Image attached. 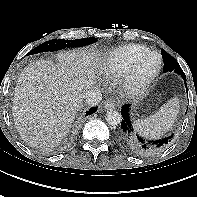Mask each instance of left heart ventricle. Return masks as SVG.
Here are the masks:
<instances>
[{
	"label": "left heart ventricle",
	"instance_id": "left-heart-ventricle-1",
	"mask_svg": "<svg viewBox=\"0 0 197 197\" xmlns=\"http://www.w3.org/2000/svg\"><path fill=\"white\" fill-rule=\"evenodd\" d=\"M158 66V58L154 55L145 58L138 66L137 75L143 79L150 76Z\"/></svg>",
	"mask_w": 197,
	"mask_h": 197
}]
</instances>
